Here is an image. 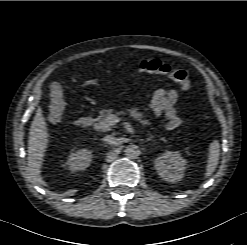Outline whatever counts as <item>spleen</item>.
<instances>
[{
    "label": "spleen",
    "instance_id": "1",
    "mask_svg": "<svg viewBox=\"0 0 247 245\" xmlns=\"http://www.w3.org/2000/svg\"><path fill=\"white\" fill-rule=\"evenodd\" d=\"M220 155V144L218 140H214L211 142L209 146L208 160L205 172V178H208L215 171Z\"/></svg>",
    "mask_w": 247,
    "mask_h": 245
}]
</instances>
